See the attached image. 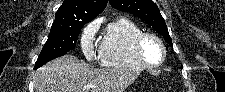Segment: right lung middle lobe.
Wrapping results in <instances>:
<instances>
[{
    "label": "right lung middle lobe",
    "mask_w": 225,
    "mask_h": 92,
    "mask_svg": "<svg viewBox=\"0 0 225 92\" xmlns=\"http://www.w3.org/2000/svg\"><path fill=\"white\" fill-rule=\"evenodd\" d=\"M85 24L86 22H74L69 26H52L34 69H38L50 60L65 55L69 50L74 49L79 32Z\"/></svg>",
    "instance_id": "right-lung-middle-lobe-1"
}]
</instances>
